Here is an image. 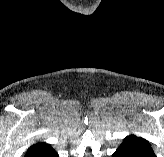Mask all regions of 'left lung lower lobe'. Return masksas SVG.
Here are the masks:
<instances>
[{
  "instance_id": "1",
  "label": "left lung lower lobe",
  "mask_w": 164,
  "mask_h": 157,
  "mask_svg": "<svg viewBox=\"0 0 164 157\" xmlns=\"http://www.w3.org/2000/svg\"><path fill=\"white\" fill-rule=\"evenodd\" d=\"M112 157H156L149 142L130 135L126 137Z\"/></svg>"
}]
</instances>
